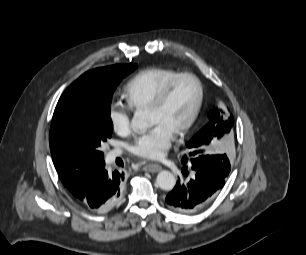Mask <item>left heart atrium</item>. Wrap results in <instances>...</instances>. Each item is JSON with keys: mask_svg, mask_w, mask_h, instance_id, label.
<instances>
[{"mask_svg": "<svg viewBox=\"0 0 306 255\" xmlns=\"http://www.w3.org/2000/svg\"><path fill=\"white\" fill-rule=\"evenodd\" d=\"M172 135L162 125H154L148 132L135 140L131 146V152L144 159H160L170 148Z\"/></svg>", "mask_w": 306, "mask_h": 255, "instance_id": "obj_1", "label": "left heart atrium"}]
</instances>
